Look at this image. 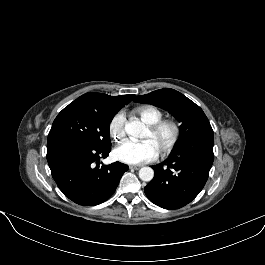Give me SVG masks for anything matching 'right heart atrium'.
I'll use <instances>...</instances> for the list:
<instances>
[{
    "instance_id": "right-heart-atrium-1",
    "label": "right heart atrium",
    "mask_w": 265,
    "mask_h": 265,
    "mask_svg": "<svg viewBox=\"0 0 265 265\" xmlns=\"http://www.w3.org/2000/svg\"><path fill=\"white\" fill-rule=\"evenodd\" d=\"M108 132L110 136L119 140L125 135V116L122 112H118L110 119L108 124Z\"/></svg>"
}]
</instances>
